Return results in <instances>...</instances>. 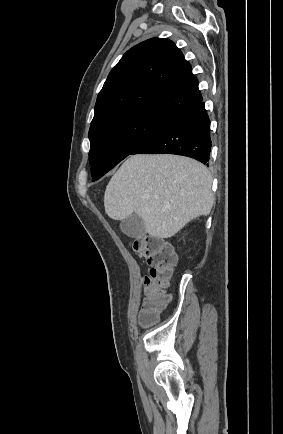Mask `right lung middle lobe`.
Segmentation results:
<instances>
[{
	"label": "right lung middle lobe",
	"mask_w": 283,
	"mask_h": 434,
	"mask_svg": "<svg viewBox=\"0 0 283 434\" xmlns=\"http://www.w3.org/2000/svg\"><path fill=\"white\" fill-rule=\"evenodd\" d=\"M170 119L148 112L119 115L90 128L93 181L101 178Z\"/></svg>",
	"instance_id": "obj_1"
}]
</instances>
